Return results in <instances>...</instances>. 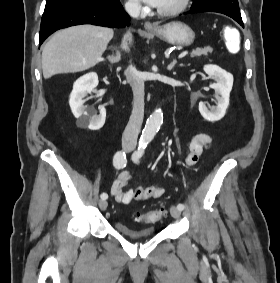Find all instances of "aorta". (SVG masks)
Segmentation results:
<instances>
[{
	"label": "aorta",
	"mask_w": 280,
	"mask_h": 283,
	"mask_svg": "<svg viewBox=\"0 0 280 283\" xmlns=\"http://www.w3.org/2000/svg\"><path fill=\"white\" fill-rule=\"evenodd\" d=\"M163 123V113L161 109H155L154 112L148 118L145 128L142 132L141 141L143 143L150 142Z\"/></svg>",
	"instance_id": "aorta-1"
}]
</instances>
